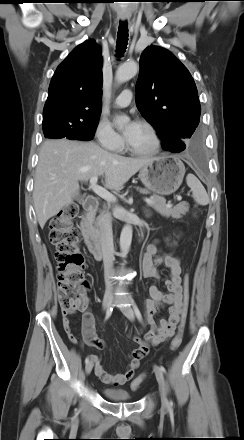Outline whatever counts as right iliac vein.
Returning a JSON list of instances; mask_svg holds the SVG:
<instances>
[{"label": "right iliac vein", "instance_id": "right-iliac-vein-1", "mask_svg": "<svg viewBox=\"0 0 244 440\" xmlns=\"http://www.w3.org/2000/svg\"><path fill=\"white\" fill-rule=\"evenodd\" d=\"M112 291L109 289L106 291L104 299H103V309L106 310L109 308L110 304L112 303ZM93 368V363L90 361L89 363L86 364L85 366V372L86 374H90Z\"/></svg>", "mask_w": 244, "mask_h": 440}]
</instances>
